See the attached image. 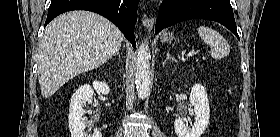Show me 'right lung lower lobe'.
I'll list each match as a JSON object with an SVG mask.
<instances>
[{"label":"right lung lower lobe","instance_id":"1","mask_svg":"<svg viewBox=\"0 0 280 137\" xmlns=\"http://www.w3.org/2000/svg\"><path fill=\"white\" fill-rule=\"evenodd\" d=\"M140 0H52L45 26L56 16L71 10H88L98 13L114 23L125 37L136 46L134 28L137 5Z\"/></svg>","mask_w":280,"mask_h":137}]
</instances>
